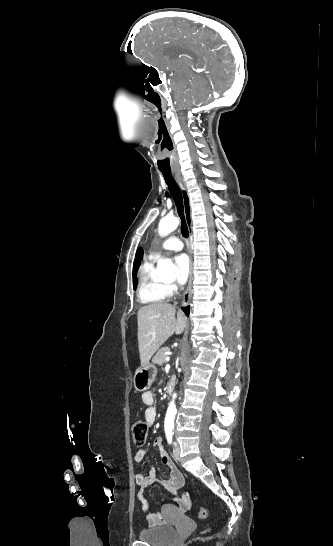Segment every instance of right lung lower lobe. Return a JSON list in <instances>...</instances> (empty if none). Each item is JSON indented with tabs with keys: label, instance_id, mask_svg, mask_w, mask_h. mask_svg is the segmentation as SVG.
Returning <instances> with one entry per match:
<instances>
[{
	"label": "right lung lower lobe",
	"instance_id": "1",
	"mask_svg": "<svg viewBox=\"0 0 333 546\" xmlns=\"http://www.w3.org/2000/svg\"><path fill=\"white\" fill-rule=\"evenodd\" d=\"M184 312H185L187 315H189V306L186 307V308H184Z\"/></svg>",
	"mask_w": 333,
	"mask_h": 546
}]
</instances>
